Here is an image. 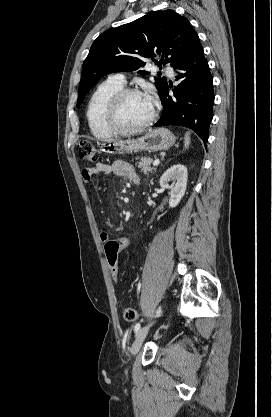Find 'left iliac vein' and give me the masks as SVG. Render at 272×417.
Returning <instances> with one entry per match:
<instances>
[{"mask_svg":"<svg viewBox=\"0 0 272 417\" xmlns=\"http://www.w3.org/2000/svg\"><path fill=\"white\" fill-rule=\"evenodd\" d=\"M149 327H150L149 325L144 326L137 332L136 338H135V340L132 344L131 350H130L133 355L137 354L138 351L140 350V348L142 346V343H143V341H144V339H145V337H146V335L149 331Z\"/></svg>","mask_w":272,"mask_h":417,"instance_id":"1","label":"left iliac vein"}]
</instances>
